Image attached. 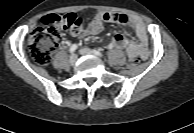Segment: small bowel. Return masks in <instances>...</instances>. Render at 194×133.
<instances>
[{"instance_id": "1", "label": "small bowel", "mask_w": 194, "mask_h": 133, "mask_svg": "<svg viewBox=\"0 0 194 133\" xmlns=\"http://www.w3.org/2000/svg\"><path fill=\"white\" fill-rule=\"evenodd\" d=\"M105 22L117 23L130 26L136 35L137 40L128 37L126 32L120 31L113 37L109 49H120L127 53L130 59L140 58L146 60L149 57V40L147 28L140 17L125 13L99 12L89 25L77 35H97L103 30Z\"/></svg>"}]
</instances>
